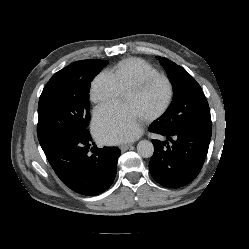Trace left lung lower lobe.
<instances>
[{
  "mask_svg": "<svg viewBox=\"0 0 249 249\" xmlns=\"http://www.w3.org/2000/svg\"><path fill=\"white\" fill-rule=\"evenodd\" d=\"M149 130L172 142L166 145L167 141L152 140L154 154L149 169L153 178L169 188H179L194 180L206 158L212 127L167 133L152 123Z\"/></svg>",
  "mask_w": 249,
  "mask_h": 249,
  "instance_id": "0a47b994",
  "label": "left lung lower lobe"
}]
</instances>
